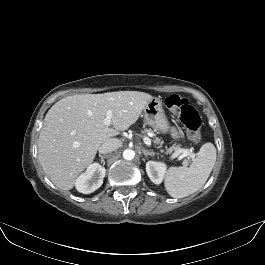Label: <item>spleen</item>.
Returning a JSON list of instances; mask_svg holds the SVG:
<instances>
[{"label":"spleen","instance_id":"3e777b00","mask_svg":"<svg viewBox=\"0 0 265 265\" xmlns=\"http://www.w3.org/2000/svg\"><path fill=\"white\" fill-rule=\"evenodd\" d=\"M216 162V148L208 142L201 146L189 167H170L165 189L173 198H183L199 190L207 181Z\"/></svg>","mask_w":265,"mask_h":265}]
</instances>
